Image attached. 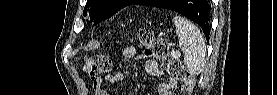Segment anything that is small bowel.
<instances>
[{
	"label": "small bowel",
	"mask_w": 277,
	"mask_h": 95,
	"mask_svg": "<svg viewBox=\"0 0 277 95\" xmlns=\"http://www.w3.org/2000/svg\"><path fill=\"white\" fill-rule=\"evenodd\" d=\"M123 56L126 59L140 58L145 59L146 69L149 74L162 77L165 82L158 87V95H172V90L175 87L176 81L172 76L165 75L159 67L158 61L155 59H148L143 54H138L134 46H127L123 50ZM125 73L123 70H119L115 73H110L105 77V81L109 83L120 82L124 79ZM93 89L96 95H107V91L104 88V80L101 78L93 79Z\"/></svg>",
	"instance_id": "1"
}]
</instances>
